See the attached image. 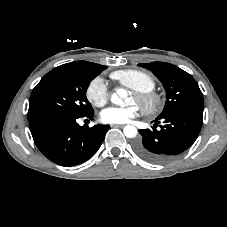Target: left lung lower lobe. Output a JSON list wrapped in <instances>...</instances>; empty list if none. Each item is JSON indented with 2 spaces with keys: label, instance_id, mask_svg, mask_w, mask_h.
Segmentation results:
<instances>
[{
  "label": "left lung lower lobe",
  "instance_id": "1",
  "mask_svg": "<svg viewBox=\"0 0 227 227\" xmlns=\"http://www.w3.org/2000/svg\"><path fill=\"white\" fill-rule=\"evenodd\" d=\"M165 125L156 128L139 130L141 139L134 144L135 152L144 160L152 163L167 162L188 149L199 135L203 113L185 111L173 113L155 120Z\"/></svg>",
  "mask_w": 227,
  "mask_h": 227
}]
</instances>
